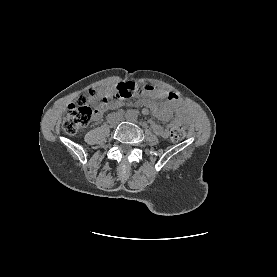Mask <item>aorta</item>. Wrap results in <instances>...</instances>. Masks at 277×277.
Here are the masks:
<instances>
[{
  "instance_id": "obj_1",
  "label": "aorta",
  "mask_w": 277,
  "mask_h": 277,
  "mask_svg": "<svg viewBox=\"0 0 277 277\" xmlns=\"http://www.w3.org/2000/svg\"><path fill=\"white\" fill-rule=\"evenodd\" d=\"M125 117L127 121L134 122L138 117L137 111L133 109L127 110Z\"/></svg>"
}]
</instances>
